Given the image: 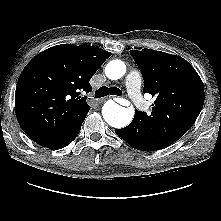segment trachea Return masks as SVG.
Listing matches in <instances>:
<instances>
[{"instance_id": "obj_1", "label": "trachea", "mask_w": 221, "mask_h": 221, "mask_svg": "<svg viewBox=\"0 0 221 221\" xmlns=\"http://www.w3.org/2000/svg\"><path fill=\"white\" fill-rule=\"evenodd\" d=\"M107 95L121 96L122 91L119 88H116V87L108 88L106 86H102L95 93L96 98H101V97H104V96H107Z\"/></svg>"}]
</instances>
